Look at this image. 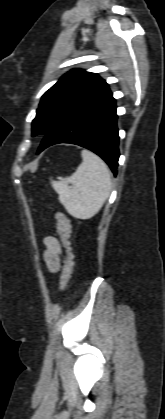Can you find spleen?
Segmentation results:
<instances>
[{
	"label": "spleen",
	"instance_id": "3e777b00",
	"mask_svg": "<svg viewBox=\"0 0 165 419\" xmlns=\"http://www.w3.org/2000/svg\"><path fill=\"white\" fill-rule=\"evenodd\" d=\"M81 156L82 163L71 176L51 180V185L70 215L90 219L109 197L112 180L107 165L96 154L82 150Z\"/></svg>",
	"mask_w": 165,
	"mask_h": 419
}]
</instances>
